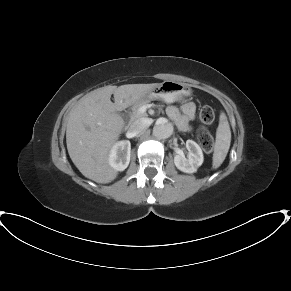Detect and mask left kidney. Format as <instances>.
I'll return each mask as SVG.
<instances>
[{"instance_id":"obj_1","label":"left kidney","mask_w":291,"mask_h":291,"mask_svg":"<svg viewBox=\"0 0 291 291\" xmlns=\"http://www.w3.org/2000/svg\"><path fill=\"white\" fill-rule=\"evenodd\" d=\"M186 148L188 150L187 158L183 152L178 151L174 155V164L184 173H194L203 163V152L200 146L193 140L186 141Z\"/></svg>"}]
</instances>
